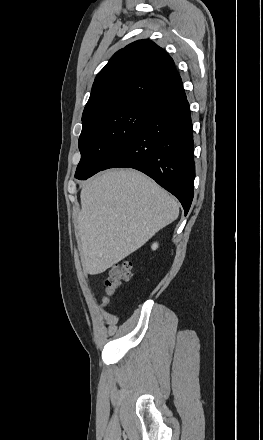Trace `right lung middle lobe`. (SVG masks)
<instances>
[{
  "label": "right lung middle lobe",
  "instance_id": "right-lung-middle-lobe-1",
  "mask_svg": "<svg viewBox=\"0 0 263 440\" xmlns=\"http://www.w3.org/2000/svg\"><path fill=\"white\" fill-rule=\"evenodd\" d=\"M153 105L129 103L109 108L83 121L79 137L81 160L75 177L87 179L101 171L110 157L139 130Z\"/></svg>",
  "mask_w": 263,
  "mask_h": 440
}]
</instances>
